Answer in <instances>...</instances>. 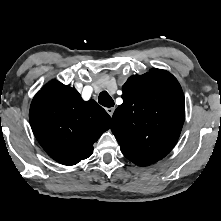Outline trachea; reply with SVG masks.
Returning a JSON list of instances; mask_svg holds the SVG:
<instances>
[{"label":"trachea","mask_w":221,"mask_h":221,"mask_svg":"<svg viewBox=\"0 0 221 221\" xmlns=\"http://www.w3.org/2000/svg\"><path fill=\"white\" fill-rule=\"evenodd\" d=\"M98 101L101 105L105 107H113L114 106V101L110 97V95L106 92L103 91L99 94Z\"/></svg>","instance_id":"3493384b"}]
</instances>
